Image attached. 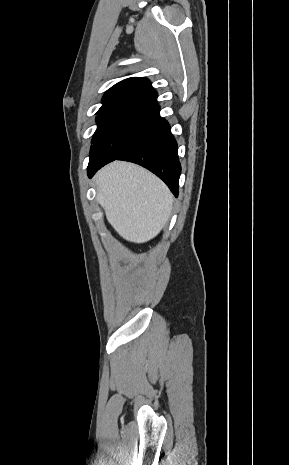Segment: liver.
I'll return each mask as SVG.
<instances>
[{
    "mask_svg": "<svg viewBox=\"0 0 289 465\" xmlns=\"http://www.w3.org/2000/svg\"><path fill=\"white\" fill-rule=\"evenodd\" d=\"M97 202L117 233L134 243L156 237L168 222L173 196L148 170L114 161L95 175Z\"/></svg>",
    "mask_w": 289,
    "mask_h": 465,
    "instance_id": "1",
    "label": "liver"
}]
</instances>
